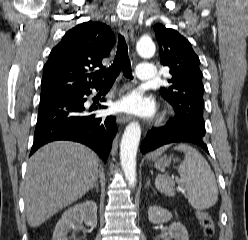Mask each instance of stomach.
Listing matches in <instances>:
<instances>
[{
    "label": "stomach",
    "mask_w": 248,
    "mask_h": 240,
    "mask_svg": "<svg viewBox=\"0 0 248 240\" xmlns=\"http://www.w3.org/2000/svg\"><path fill=\"white\" fill-rule=\"evenodd\" d=\"M152 159L155 161V165L157 167H166L169 166L172 162L171 158H168L167 156H162L159 152H156L153 156Z\"/></svg>",
    "instance_id": "0dacf381"
}]
</instances>
